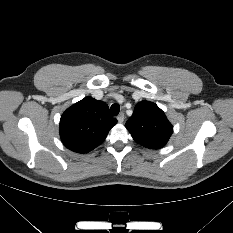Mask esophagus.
<instances>
[{"instance_id":"34e87169","label":"esophagus","mask_w":233,"mask_h":233,"mask_svg":"<svg viewBox=\"0 0 233 233\" xmlns=\"http://www.w3.org/2000/svg\"><path fill=\"white\" fill-rule=\"evenodd\" d=\"M117 120H118L119 123H122L124 121V113H120L117 116Z\"/></svg>"}]
</instances>
